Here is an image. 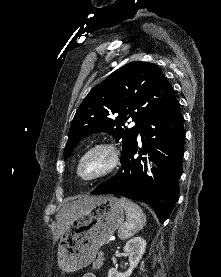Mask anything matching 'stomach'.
I'll return each mask as SVG.
<instances>
[{
    "label": "stomach",
    "instance_id": "0dacf381",
    "mask_svg": "<svg viewBox=\"0 0 221 277\" xmlns=\"http://www.w3.org/2000/svg\"><path fill=\"white\" fill-rule=\"evenodd\" d=\"M124 207L113 197H100L95 204L71 218L58 244V265L75 272L90 265L100 247L122 225Z\"/></svg>",
    "mask_w": 221,
    "mask_h": 277
}]
</instances>
